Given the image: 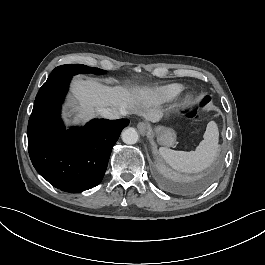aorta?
<instances>
[{"instance_id": "obj_1", "label": "aorta", "mask_w": 265, "mask_h": 265, "mask_svg": "<svg viewBox=\"0 0 265 265\" xmlns=\"http://www.w3.org/2000/svg\"><path fill=\"white\" fill-rule=\"evenodd\" d=\"M121 136L126 144H135L139 138L137 131L132 127L123 130Z\"/></svg>"}]
</instances>
